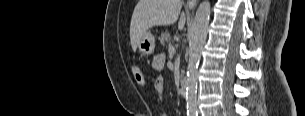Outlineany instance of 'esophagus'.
Segmentation results:
<instances>
[{"instance_id": "34e87169", "label": "esophagus", "mask_w": 305, "mask_h": 116, "mask_svg": "<svg viewBox=\"0 0 305 116\" xmlns=\"http://www.w3.org/2000/svg\"><path fill=\"white\" fill-rule=\"evenodd\" d=\"M198 0H188L186 3L187 8H194L197 4Z\"/></svg>"}]
</instances>
